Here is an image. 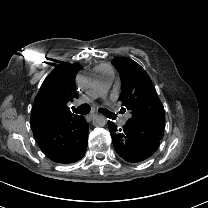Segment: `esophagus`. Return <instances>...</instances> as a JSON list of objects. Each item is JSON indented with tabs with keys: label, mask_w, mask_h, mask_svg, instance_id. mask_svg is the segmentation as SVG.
Segmentation results:
<instances>
[{
	"label": "esophagus",
	"mask_w": 208,
	"mask_h": 208,
	"mask_svg": "<svg viewBox=\"0 0 208 208\" xmlns=\"http://www.w3.org/2000/svg\"><path fill=\"white\" fill-rule=\"evenodd\" d=\"M97 114L96 113H92V114H89L86 118L88 121H91L92 119H94V117H96Z\"/></svg>",
	"instance_id": "1"
}]
</instances>
